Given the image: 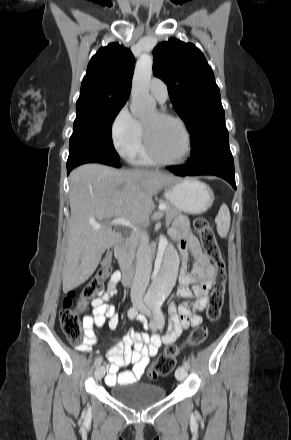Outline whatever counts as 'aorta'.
<instances>
[{"instance_id":"obj_1","label":"aorta","mask_w":291,"mask_h":440,"mask_svg":"<svg viewBox=\"0 0 291 440\" xmlns=\"http://www.w3.org/2000/svg\"><path fill=\"white\" fill-rule=\"evenodd\" d=\"M153 58L143 54L138 59L132 83L131 113L136 118H144L156 109V101L149 94L152 76ZM178 255L174 246L166 240L159 243L157 268L148 292L147 301L150 305L161 304L170 293L176 279Z\"/></svg>"}]
</instances>
